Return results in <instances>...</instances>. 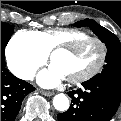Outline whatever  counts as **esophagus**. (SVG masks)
Listing matches in <instances>:
<instances>
[{
	"instance_id": "34e87169",
	"label": "esophagus",
	"mask_w": 121,
	"mask_h": 121,
	"mask_svg": "<svg viewBox=\"0 0 121 121\" xmlns=\"http://www.w3.org/2000/svg\"><path fill=\"white\" fill-rule=\"evenodd\" d=\"M43 95H45V96H52V95H54V92H51V91H40Z\"/></svg>"
}]
</instances>
